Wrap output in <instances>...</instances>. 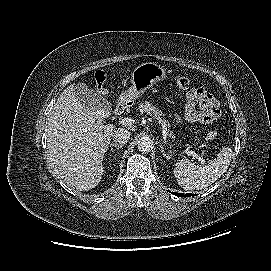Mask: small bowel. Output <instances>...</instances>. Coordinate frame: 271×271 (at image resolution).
<instances>
[{
	"label": "small bowel",
	"mask_w": 271,
	"mask_h": 271,
	"mask_svg": "<svg viewBox=\"0 0 271 271\" xmlns=\"http://www.w3.org/2000/svg\"><path fill=\"white\" fill-rule=\"evenodd\" d=\"M221 116L218 101L203 87L191 89L186 96L184 120L192 124H209ZM180 121L181 118L176 115Z\"/></svg>",
	"instance_id": "small-bowel-1"
}]
</instances>
